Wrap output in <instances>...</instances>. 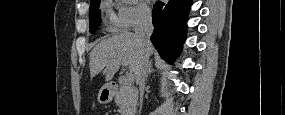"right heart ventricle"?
<instances>
[{
  "mask_svg": "<svg viewBox=\"0 0 285 115\" xmlns=\"http://www.w3.org/2000/svg\"><path fill=\"white\" fill-rule=\"evenodd\" d=\"M106 9H107V12L109 13V16H110L108 28L114 29V28L120 27V22H119V19H118L117 15H115L110 10L109 6H107Z\"/></svg>",
  "mask_w": 285,
  "mask_h": 115,
  "instance_id": "e07e8e85",
  "label": "right heart ventricle"
}]
</instances>
